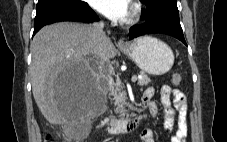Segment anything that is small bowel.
I'll list each match as a JSON object with an SVG mask.
<instances>
[{
  "label": "small bowel",
  "mask_w": 227,
  "mask_h": 142,
  "mask_svg": "<svg viewBox=\"0 0 227 142\" xmlns=\"http://www.w3.org/2000/svg\"><path fill=\"white\" fill-rule=\"evenodd\" d=\"M155 90L147 88L142 97L143 105L147 108L153 117L158 114L157 104L153 101ZM171 94L174 96V108L178 112L177 130L171 138V142H186L188 134L187 125V105L185 96L177 89H172L164 85L160 90V99L163 106V127L166 131L173 130L175 122V109L171 105ZM143 142H154L153 134L150 129H144L141 133Z\"/></svg>",
  "instance_id": "1"
}]
</instances>
